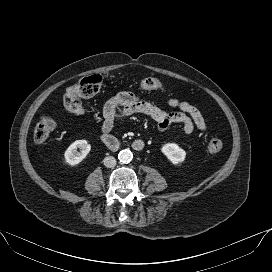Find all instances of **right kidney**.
Returning <instances> with one entry per match:
<instances>
[{"label":"right kidney","mask_w":272,"mask_h":272,"mask_svg":"<svg viewBox=\"0 0 272 272\" xmlns=\"http://www.w3.org/2000/svg\"><path fill=\"white\" fill-rule=\"evenodd\" d=\"M80 149V152L77 149ZM91 150V145L86 140H76L64 153V161L70 166L78 165Z\"/></svg>","instance_id":"right-kidney-1"}]
</instances>
